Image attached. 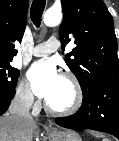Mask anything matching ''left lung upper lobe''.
<instances>
[{"label": "left lung upper lobe", "instance_id": "1", "mask_svg": "<svg viewBox=\"0 0 119 141\" xmlns=\"http://www.w3.org/2000/svg\"><path fill=\"white\" fill-rule=\"evenodd\" d=\"M61 4L62 49L71 39L76 44L65 62L77 77L83 94L103 81L119 80L114 22L103 0H61Z\"/></svg>", "mask_w": 119, "mask_h": 141}]
</instances>
